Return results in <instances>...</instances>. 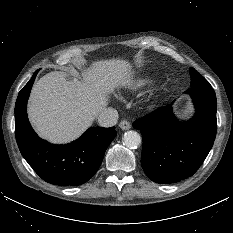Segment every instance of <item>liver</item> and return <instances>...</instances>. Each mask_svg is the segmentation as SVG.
Returning a JSON list of instances; mask_svg holds the SVG:
<instances>
[{
    "label": "liver",
    "instance_id": "6515ba94",
    "mask_svg": "<svg viewBox=\"0 0 233 233\" xmlns=\"http://www.w3.org/2000/svg\"><path fill=\"white\" fill-rule=\"evenodd\" d=\"M83 81H68L59 71L47 73L33 86L28 115L37 133L52 143L78 138L107 107L115 88L129 86L125 60H100L82 71Z\"/></svg>",
    "mask_w": 233,
    "mask_h": 233
}]
</instances>
